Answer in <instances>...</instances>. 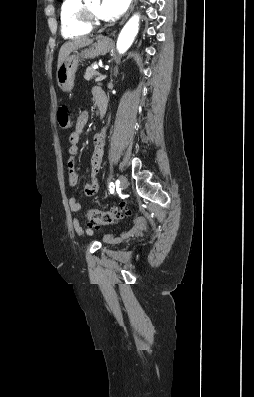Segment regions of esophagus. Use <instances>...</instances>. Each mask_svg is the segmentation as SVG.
I'll use <instances>...</instances> for the list:
<instances>
[{
	"label": "esophagus",
	"mask_w": 254,
	"mask_h": 397,
	"mask_svg": "<svg viewBox=\"0 0 254 397\" xmlns=\"http://www.w3.org/2000/svg\"><path fill=\"white\" fill-rule=\"evenodd\" d=\"M136 1H137V0H132L131 5H130V7H129L127 13L125 14L124 18L122 19L120 25L124 24L125 21L127 20V18L129 17V15L131 14V12H132L133 9H134V6H135ZM115 33H116V31H112V32L109 34V36H110V37H111V36H114Z\"/></svg>",
	"instance_id": "obj_1"
}]
</instances>
